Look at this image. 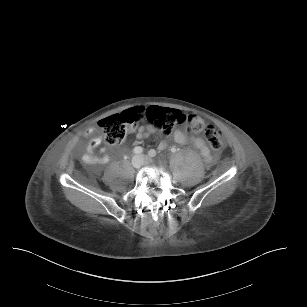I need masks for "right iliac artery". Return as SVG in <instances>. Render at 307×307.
<instances>
[{
  "label": "right iliac artery",
  "instance_id": "82829eb1",
  "mask_svg": "<svg viewBox=\"0 0 307 307\" xmlns=\"http://www.w3.org/2000/svg\"><path fill=\"white\" fill-rule=\"evenodd\" d=\"M133 152H134L135 154H140V153L143 152V148L140 147V146H137V147L134 148Z\"/></svg>",
  "mask_w": 307,
  "mask_h": 307
}]
</instances>
